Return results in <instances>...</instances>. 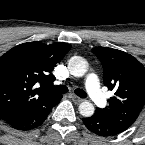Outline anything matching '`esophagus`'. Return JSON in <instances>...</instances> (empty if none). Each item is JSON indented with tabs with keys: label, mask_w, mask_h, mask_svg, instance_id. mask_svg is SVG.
<instances>
[{
	"label": "esophagus",
	"mask_w": 145,
	"mask_h": 145,
	"mask_svg": "<svg viewBox=\"0 0 145 145\" xmlns=\"http://www.w3.org/2000/svg\"><path fill=\"white\" fill-rule=\"evenodd\" d=\"M72 100H73V102L76 103V104H79V103H81V102L84 101V99L79 98V97L76 96V95H72Z\"/></svg>",
	"instance_id": "esophagus-1"
}]
</instances>
